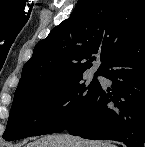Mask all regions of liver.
Masks as SVG:
<instances>
[{"instance_id": "liver-1", "label": "liver", "mask_w": 145, "mask_h": 147, "mask_svg": "<svg viewBox=\"0 0 145 147\" xmlns=\"http://www.w3.org/2000/svg\"><path fill=\"white\" fill-rule=\"evenodd\" d=\"M26 147H116L109 142L84 140L70 135H47Z\"/></svg>"}]
</instances>
